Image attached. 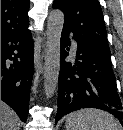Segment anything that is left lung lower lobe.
<instances>
[{
    "label": "left lung lower lobe",
    "mask_w": 123,
    "mask_h": 130,
    "mask_svg": "<svg viewBox=\"0 0 123 130\" xmlns=\"http://www.w3.org/2000/svg\"><path fill=\"white\" fill-rule=\"evenodd\" d=\"M70 31L61 35V67L58 85V111L55 122L81 108H97L115 115L123 126V107L112 71L111 52L77 42L74 64L65 61L70 46Z\"/></svg>",
    "instance_id": "1"
}]
</instances>
